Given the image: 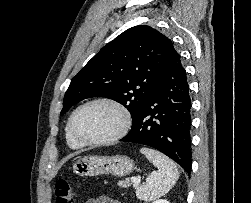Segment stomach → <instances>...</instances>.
<instances>
[{
    "instance_id": "stomach-1",
    "label": "stomach",
    "mask_w": 251,
    "mask_h": 203,
    "mask_svg": "<svg viewBox=\"0 0 251 203\" xmlns=\"http://www.w3.org/2000/svg\"><path fill=\"white\" fill-rule=\"evenodd\" d=\"M134 169V162L127 156H84L73 164V171L80 176L113 174L126 176Z\"/></svg>"
}]
</instances>
